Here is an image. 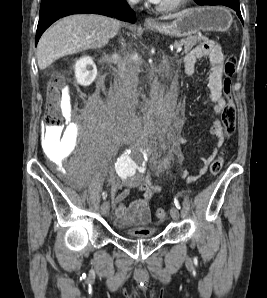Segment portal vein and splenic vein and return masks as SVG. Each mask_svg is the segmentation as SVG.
I'll return each mask as SVG.
<instances>
[{
	"mask_svg": "<svg viewBox=\"0 0 267 298\" xmlns=\"http://www.w3.org/2000/svg\"><path fill=\"white\" fill-rule=\"evenodd\" d=\"M182 51V47H178L176 53H180Z\"/></svg>",
	"mask_w": 267,
	"mask_h": 298,
	"instance_id": "obj_1",
	"label": "portal vein and splenic vein"
}]
</instances>
